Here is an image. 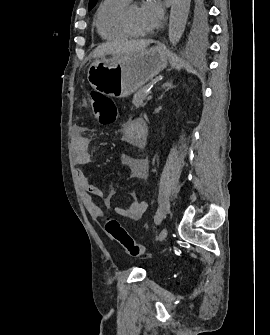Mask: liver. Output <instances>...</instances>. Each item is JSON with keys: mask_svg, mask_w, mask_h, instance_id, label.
<instances>
[{"mask_svg": "<svg viewBox=\"0 0 270 335\" xmlns=\"http://www.w3.org/2000/svg\"><path fill=\"white\" fill-rule=\"evenodd\" d=\"M151 42L152 40H137V42H124L121 46L101 44V46H98V48H95V50L91 52V56L92 58H103V56L110 54V52L123 56V54H131V52H140V50L147 48Z\"/></svg>", "mask_w": 270, "mask_h": 335, "instance_id": "1", "label": "liver"}]
</instances>
